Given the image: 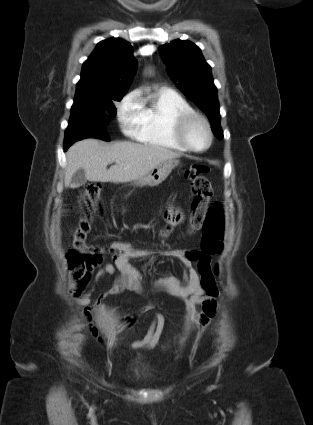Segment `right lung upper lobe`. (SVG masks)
Masks as SVG:
<instances>
[{
	"label": "right lung upper lobe",
	"instance_id": "1",
	"mask_svg": "<svg viewBox=\"0 0 313 425\" xmlns=\"http://www.w3.org/2000/svg\"><path fill=\"white\" fill-rule=\"evenodd\" d=\"M133 48L125 40L110 38L99 42L83 63L75 99L126 93L136 71Z\"/></svg>",
	"mask_w": 313,
	"mask_h": 425
}]
</instances>
